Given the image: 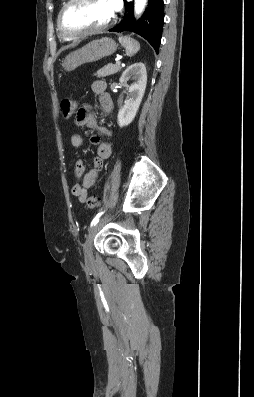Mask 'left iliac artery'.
Instances as JSON below:
<instances>
[{
  "instance_id": "44dca946",
  "label": "left iliac artery",
  "mask_w": 254,
  "mask_h": 397,
  "mask_svg": "<svg viewBox=\"0 0 254 397\" xmlns=\"http://www.w3.org/2000/svg\"><path fill=\"white\" fill-rule=\"evenodd\" d=\"M103 213H104V212L98 213V214L95 216V218H94V219L92 220V222H91V227L94 226V225H96V224L99 222V220H100L101 216L103 215Z\"/></svg>"
}]
</instances>
